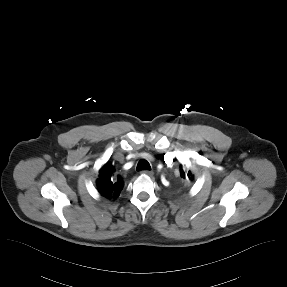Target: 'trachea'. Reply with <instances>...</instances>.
Returning a JSON list of instances; mask_svg holds the SVG:
<instances>
[{
	"label": "trachea",
	"mask_w": 287,
	"mask_h": 287,
	"mask_svg": "<svg viewBox=\"0 0 287 287\" xmlns=\"http://www.w3.org/2000/svg\"><path fill=\"white\" fill-rule=\"evenodd\" d=\"M137 170H151V166L148 161L142 159L137 164Z\"/></svg>",
	"instance_id": "3493384b"
}]
</instances>
